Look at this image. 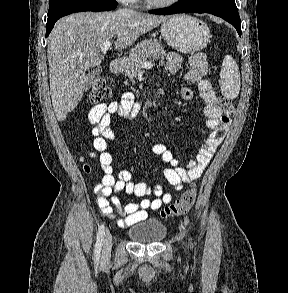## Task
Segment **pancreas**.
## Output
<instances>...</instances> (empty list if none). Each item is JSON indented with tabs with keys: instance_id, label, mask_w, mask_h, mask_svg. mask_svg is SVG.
Here are the masks:
<instances>
[{
	"instance_id": "cf45deb5",
	"label": "pancreas",
	"mask_w": 288,
	"mask_h": 293,
	"mask_svg": "<svg viewBox=\"0 0 288 293\" xmlns=\"http://www.w3.org/2000/svg\"><path fill=\"white\" fill-rule=\"evenodd\" d=\"M165 56V50L157 40H143L135 47H133L129 53V57L125 60V73L133 79L138 71L142 68V63L147 59L152 61Z\"/></svg>"
}]
</instances>
